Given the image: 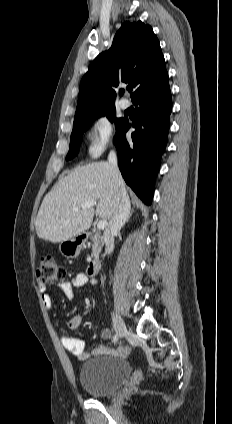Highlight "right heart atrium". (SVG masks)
Masks as SVG:
<instances>
[{
    "mask_svg": "<svg viewBox=\"0 0 232 424\" xmlns=\"http://www.w3.org/2000/svg\"><path fill=\"white\" fill-rule=\"evenodd\" d=\"M114 125L107 115L98 116L91 124L88 134V153L92 157L101 156L113 143Z\"/></svg>",
    "mask_w": 232,
    "mask_h": 424,
    "instance_id": "obj_1",
    "label": "right heart atrium"
}]
</instances>
